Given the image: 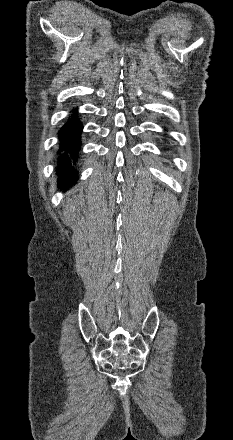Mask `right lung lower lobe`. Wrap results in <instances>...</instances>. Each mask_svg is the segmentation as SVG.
Masks as SVG:
<instances>
[{
	"instance_id": "obj_1",
	"label": "right lung lower lobe",
	"mask_w": 233,
	"mask_h": 440,
	"mask_svg": "<svg viewBox=\"0 0 233 440\" xmlns=\"http://www.w3.org/2000/svg\"><path fill=\"white\" fill-rule=\"evenodd\" d=\"M81 123L73 117L67 122L59 131V137L61 141L60 152L66 151L60 158L59 173V186L62 188L70 186L75 180L76 171L72 168L70 162L71 158H74L80 147V134L82 131Z\"/></svg>"
}]
</instances>
